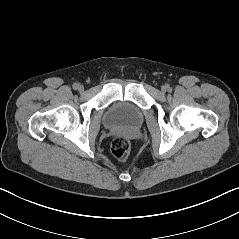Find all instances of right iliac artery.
<instances>
[{"label":"right iliac artery","instance_id":"obj_1","mask_svg":"<svg viewBox=\"0 0 239 239\" xmlns=\"http://www.w3.org/2000/svg\"><path fill=\"white\" fill-rule=\"evenodd\" d=\"M79 86H80V85H79L78 83H74V84H73V89L77 90V89L79 88Z\"/></svg>","mask_w":239,"mask_h":239}]
</instances>
